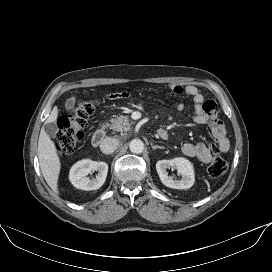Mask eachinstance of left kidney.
<instances>
[{
	"mask_svg": "<svg viewBox=\"0 0 272 272\" xmlns=\"http://www.w3.org/2000/svg\"><path fill=\"white\" fill-rule=\"evenodd\" d=\"M176 169L181 179L176 180L168 176L167 169ZM156 170L161 182L173 189H188L194 184V169L192 163L182 157H177L172 160H159L156 163Z\"/></svg>",
	"mask_w": 272,
	"mask_h": 272,
	"instance_id": "obj_1",
	"label": "left kidney"
}]
</instances>
